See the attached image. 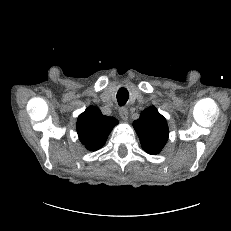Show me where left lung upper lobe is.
Returning a JSON list of instances; mask_svg holds the SVG:
<instances>
[{"label":"left lung upper lobe","instance_id":"5c2ea615","mask_svg":"<svg viewBox=\"0 0 231 231\" xmlns=\"http://www.w3.org/2000/svg\"><path fill=\"white\" fill-rule=\"evenodd\" d=\"M133 126L139 136L144 151L148 154H158L165 146L169 129L166 119L158 112L156 107L151 106L141 112Z\"/></svg>","mask_w":231,"mask_h":231}]
</instances>
